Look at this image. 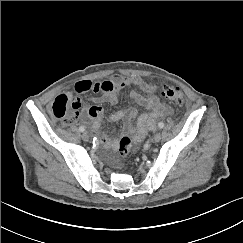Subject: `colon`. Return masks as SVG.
I'll list each match as a JSON object with an SVG mask.
<instances>
[{
	"label": "colon",
	"mask_w": 243,
	"mask_h": 243,
	"mask_svg": "<svg viewBox=\"0 0 243 243\" xmlns=\"http://www.w3.org/2000/svg\"><path fill=\"white\" fill-rule=\"evenodd\" d=\"M162 98L168 100L176 106H184L185 98L183 93L178 87L163 84L160 89ZM52 112L56 118L63 119L64 123H68L67 115V104L62 101H55L52 104ZM132 148V141L129 137H123L119 141V153L126 159Z\"/></svg>",
	"instance_id": "5ec220e1"
}]
</instances>
